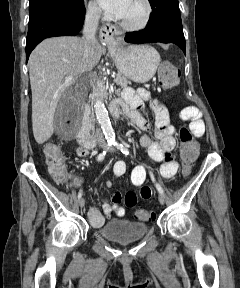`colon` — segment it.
<instances>
[{
  "mask_svg": "<svg viewBox=\"0 0 240 288\" xmlns=\"http://www.w3.org/2000/svg\"><path fill=\"white\" fill-rule=\"evenodd\" d=\"M178 69L170 63H162L159 67V82L164 88L174 87L179 80ZM44 155L47 170L55 182L63 184L67 180V171L64 159L59 147L54 143H47L44 146ZM198 155V145L194 136L187 128L180 130V157L185 173L191 169ZM125 205L133 207L136 205L137 196L133 191H129L124 196ZM138 219L143 221H153L155 213L150 210L138 209L135 212Z\"/></svg>",
  "mask_w": 240,
  "mask_h": 288,
  "instance_id": "obj_1",
  "label": "colon"
}]
</instances>
